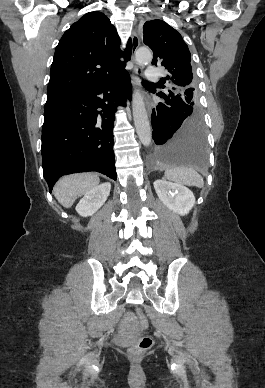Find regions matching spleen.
Wrapping results in <instances>:
<instances>
[{
    "label": "spleen",
    "instance_id": "spleen-1",
    "mask_svg": "<svg viewBox=\"0 0 265 388\" xmlns=\"http://www.w3.org/2000/svg\"><path fill=\"white\" fill-rule=\"evenodd\" d=\"M165 178L170 182H176V184H184V186H198L203 188V178L193 170V168H171L166 170Z\"/></svg>",
    "mask_w": 265,
    "mask_h": 388
}]
</instances>
